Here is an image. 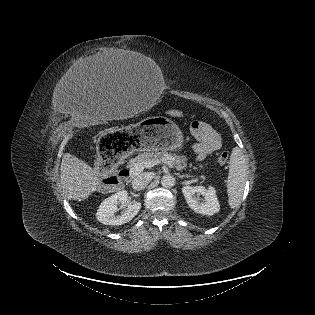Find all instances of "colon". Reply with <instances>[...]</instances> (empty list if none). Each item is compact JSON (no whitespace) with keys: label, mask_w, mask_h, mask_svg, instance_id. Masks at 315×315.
Returning a JSON list of instances; mask_svg holds the SVG:
<instances>
[{"label":"colon","mask_w":315,"mask_h":315,"mask_svg":"<svg viewBox=\"0 0 315 315\" xmlns=\"http://www.w3.org/2000/svg\"><path fill=\"white\" fill-rule=\"evenodd\" d=\"M170 115L174 117H180L182 116V112L178 110H172L170 112ZM228 158H229V153L227 151L221 152L218 156L219 164L221 165L226 164L228 161ZM115 165H116V160L107 161L103 159L101 155L99 156V159L97 161V170L99 174L101 175L103 182L107 185L115 183V180H114Z\"/></svg>","instance_id":"obj_1"}]
</instances>
